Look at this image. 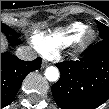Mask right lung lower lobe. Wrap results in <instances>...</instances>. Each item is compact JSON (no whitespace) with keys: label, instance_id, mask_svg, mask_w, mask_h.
Instances as JSON below:
<instances>
[{"label":"right lung lower lobe","instance_id":"right-lung-lower-lobe-1","mask_svg":"<svg viewBox=\"0 0 109 109\" xmlns=\"http://www.w3.org/2000/svg\"><path fill=\"white\" fill-rule=\"evenodd\" d=\"M7 38L12 45L21 43L18 37L7 35ZM41 61L40 57L33 61H22L8 52L1 54V108L14 100L24 78L38 69Z\"/></svg>","mask_w":109,"mask_h":109}]
</instances>
